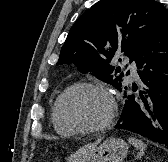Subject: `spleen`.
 <instances>
[{
  "label": "spleen",
  "mask_w": 168,
  "mask_h": 162,
  "mask_svg": "<svg viewBox=\"0 0 168 162\" xmlns=\"http://www.w3.org/2000/svg\"><path fill=\"white\" fill-rule=\"evenodd\" d=\"M129 143H131L135 148L139 150V153L137 154V158H140L144 155V152L147 148V145L143 143V141L136 139L134 137H129L128 139Z\"/></svg>",
  "instance_id": "3e777b00"
}]
</instances>
